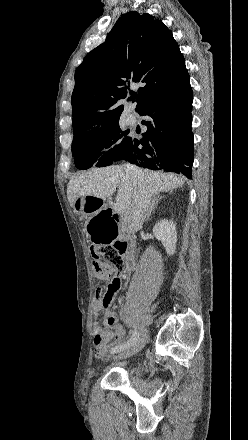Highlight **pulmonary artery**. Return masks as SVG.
Segmentation results:
<instances>
[{
    "label": "pulmonary artery",
    "instance_id": "pulmonary-artery-1",
    "mask_svg": "<svg viewBox=\"0 0 248 440\" xmlns=\"http://www.w3.org/2000/svg\"><path fill=\"white\" fill-rule=\"evenodd\" d=\"M128 123L132 124L136 121V115L133 112H130L126 116Z\"/></svg>",
    "mask_w": 248,
    "mask_h": 440
}]
</instances>
